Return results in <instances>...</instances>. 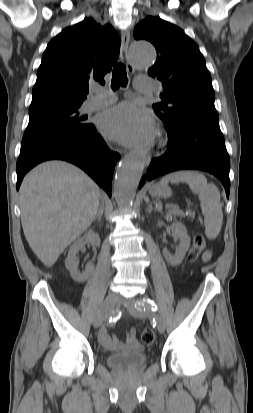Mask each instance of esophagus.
Listing matches in <instances>:
<instances>
[{"label": "esophagus", "mask_w": 253, "mask_h": 413, "mask_svg": "<svg viewBox=\"0 0 253 413\" xmlns=\"http://www.w3.org/2000/svg\"><path fill=\"white\" fill-rule=\"evenodd\" d=\"M129 41H130L129 31L128 30H122V32H121V57H122L123 61L126 64V68H127L128 73L133 74L135 72V69H134L132 63L130 62V59H129V56H128ZM139 153L144 156V162L147 165L151 160L150 154H148V152L146 150H140Z\"/></svg>", "instance_id": "esophagus-1"}]
</instances>
